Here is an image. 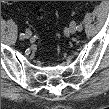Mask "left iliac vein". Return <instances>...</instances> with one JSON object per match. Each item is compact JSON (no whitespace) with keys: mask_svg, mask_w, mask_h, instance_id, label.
Wrapping results in <instances>:
<instances>
[{"mask_svg":"<svg viewBox=\"0 0 109 109\" xmlns=\"http://www.w3.org/2000/svg\"><path fill=\"white\" fill-rule=\"evenodd\" d=\"M69 31L71 34H74L77 31V25L74 21H72L69 25Z\"/></svg>","mask_w":109,"mask_h":109,"instance_id":"left-iliac-vein-1","label":"left iliac vein"}]
</instances>
